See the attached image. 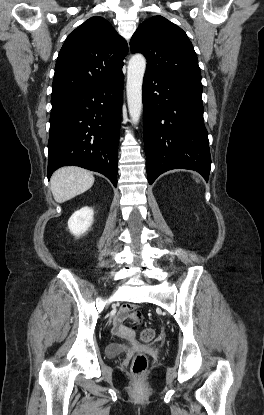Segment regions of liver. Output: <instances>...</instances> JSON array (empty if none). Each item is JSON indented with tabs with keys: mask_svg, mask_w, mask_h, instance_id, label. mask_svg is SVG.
Listing matches in <instances>:
<instances>
[{
	"mask_svg": "<svg viewBox=\"0 0 264 415\" xmlns=\"http://www.w3.org/2000/svg\"><path fill=\"white\" fill-rule=\"evenodd\" d=\"M93 174L83 168L68 166L56 170L50 180L56 202L63 203L86 192L94 184Z\"/></svg>",
	"mask_w": 264,
	"mask_h": 415,
	"instance_id": "obj_1",
	"label": "liver"
}]
</instances>
